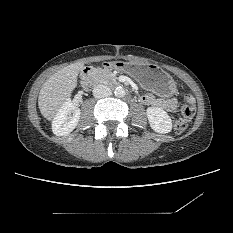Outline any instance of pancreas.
Masks as SVG:
<instances>
[{
  "label": "pancreas",
  "instance_id": "cf45deb5",
  "mask_svg": "<svg viewBox=\"0 0 233 233\" xmlns=\"http://www.w3.org/2000/svg\"><path fill=\"white\" fill-rule=\"evenodd\" d=\"M95 78L99 83L110 84L116 81V75L110 72L107 69H96L95 70Z\"/></svg>",
  "mask_w": 233,
  "mask_h": 233
}]
</instances>
